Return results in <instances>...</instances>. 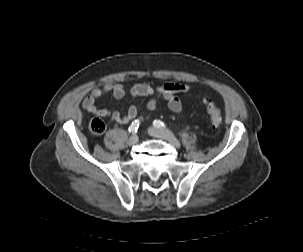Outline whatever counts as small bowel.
I'll return each mask as SVG.
<instances>
[{
    "label": "small bowel",
    "mask_w": 303,
    "mask_h": 252,
    "mask_svg": "<svg viewBox=\"0 0 303 252\" xmlns=\"http://www.w3.org/2000/svg\"><path fill=\"white\" fill-rule=\"evenodd\" d=\"M189 91V86L184 83H166L153 87L147 83H138L130 91L132 98L151 97L147 102V109L153 112L157 101L163 99L167 102L168 108L174 113L183 111V104L179 95ZM107 93H111L116 100H122L125 97V88L120 83L107 82L102 86L95 87L91 93L83 100V108L90 114L97 117H109L119 124H128L137 120L142 122L145 117L139 116L136 106H130L126 114L122 115L118 111L99 108L96 102Z\"/></svg>",
    "instance_id": "obj_1"
}]
</instances>
